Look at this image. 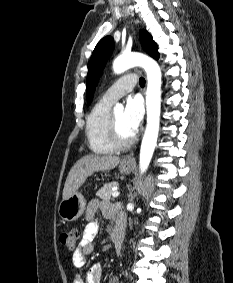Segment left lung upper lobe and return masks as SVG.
<instances>
[{
  "mask_svg": "<svg viewBox=\"0 0 233 283\" xmlns=\"http://www.w3.org/2000/svg\"><path fill=\"white\" fill-rule=\"evenodd\" d=\"M140 38L143 49L154 59L159 58L157 44L146 30H140ZM114 48V40L111 36L104 37L95 47L89 64L87 74V103L90 104L93 98L95 87L98 83L101 72Z\"/></svg>",
  "mask_w": 233,
  "mask_h": 283,
  "instance_id": "left-lung-upper-lobe-1",
  "label": "left lung upper lobe"
}]
</instances>
